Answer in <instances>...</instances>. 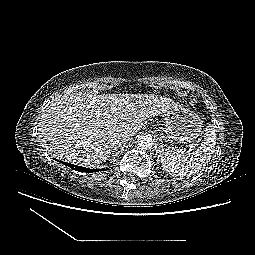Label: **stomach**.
<instances>
[{
    "mask_svg": "<svg viewBox=\"0 0 255 255\" xmlns=\"http://www.w3.org/2000/svg\"><path fill=\"white\" fill-rule=\"evenodd\" d=\"M163 125L166 138L176 144L193 141L202 129V121L198 114L178 103L172 104L166 111Z\"/></svg>",
    "mask_w": 255,
    "mask_h": 255,
    "instance_id": "stomach-1",
    "label": "stomach"
}]
</instances>
